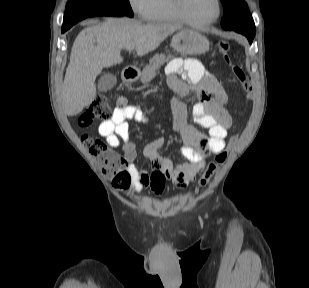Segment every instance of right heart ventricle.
Segmentation results:
<instances>
[{
    "label": "right heart ventricle",
    "mask_w": 309,
    "mask_h": 288,
    "mask_svg": "<svg viewBox=\"0 0 309 288\" xmlns=\"http://www.w3.org/2000/svg\"><path fill=\"white\" fill-rule=\"evenodd\" d=\"M145 18L154 22L181 23L175 14L172 0H151Z\"/></svg>",
    "instance_id": "1"
}]
</instances>
